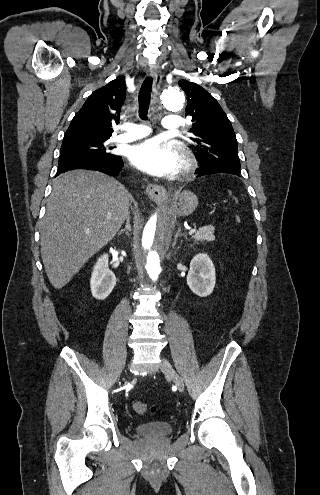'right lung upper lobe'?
Wrapping results in <instances>:
<instances>
[{"label": "right lung upper lobe", "mask_w": 320, "mask_h": 495, "mask_svg": "<svg viewBox=\"0 0 320 495\" xmlns=\"http://www.w3.org/2000/svg\"><path fill=\"white\" fill-rule=\"evenodd\" d=\"M126 96V84L116 78L95 90L75 114L63 140L109 138L113 123H119V114Z\"/></svg>", "instance_id": "1"}]
</instances>
